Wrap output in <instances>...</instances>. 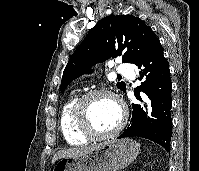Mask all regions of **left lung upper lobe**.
Listing matches in <instances>:
<instances>
[{
	"instance_id": "obj_1",
	"label": "left lung upper lobe",
	"mask_w": 199,
	"mask_h": 171,
	"mask_svg": "<svg viewBox=\"0 0 199 171\" xmlns=\"http://www.w3.org/2000/svg\"><path fill=\"white\" fill-rule=\"evenodd\" d=\"M158 40L143 20L133 15L108 16L100 20L87 34L69 59L62 76L61 92L74 79L91 73V66L122 55L125 63L138 64ZM117 87L125 91L124 82Z\"/></svg>"
}]
</instances>
